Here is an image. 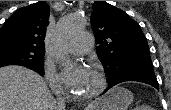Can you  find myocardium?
<instances>
[{
  "mask_svg": "<svg viewBox=\"0 0 171 110\" xmlns=\"http://www.w3.org/2000/svg\"><path fill=\"white\" fill-rule=\"evenodd\" d=\"M91 71H93L98 78L97 88L93 92L87 95H77L74 93L73 98L75 100L82 101V102L91 101L98 98L104 92L107 86V78L105 73L99 68H92Z\"/></svg>",
  "mask_w": 171,
  "mask_h": 110,
  "instance_id": "f54148a6",
  "label": "myocardium"
}]
</instances>
